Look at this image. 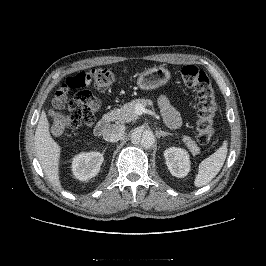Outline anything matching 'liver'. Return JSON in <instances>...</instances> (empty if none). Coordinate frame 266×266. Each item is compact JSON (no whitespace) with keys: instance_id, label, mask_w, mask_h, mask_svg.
<instances>
[{"instance_id":"obj_1","label":"liver","mask_w":266,"mask_h":266,"mask_svg":"<svg viewBox=\"0 0 266 266\" xmlns=\"http://www.w3.org/2000/svg\"><path fill=\"white\" fill-rule=\"evenodd\" d=\"M47 115L43 110L35 131V148L40 165L52 185L62 189L59 179V160L61 147L52 138Z\"/></svg>"}]
</instances>
